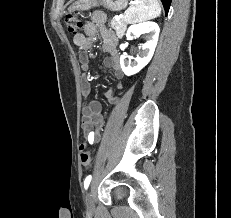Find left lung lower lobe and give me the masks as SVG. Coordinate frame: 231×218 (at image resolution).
<instances>
[{"instance_id": "left-lung-lower-lobe-1", "label": "left lung lower lobe", "mask_w": 231, "mask_h": 218, "mask_svg": "<svg viewBox=\"0 0 231 218\" xmlns=\"http://www.w3.org/2000/svg\"><path fill=\"white\" fill-rule=\"evenodd\" d=\"M171 1L172 0H161L163 6H164V9H165V13L167 14L168 11H169V7H170V4H171Z\"/></svg>"}]
</instances>
